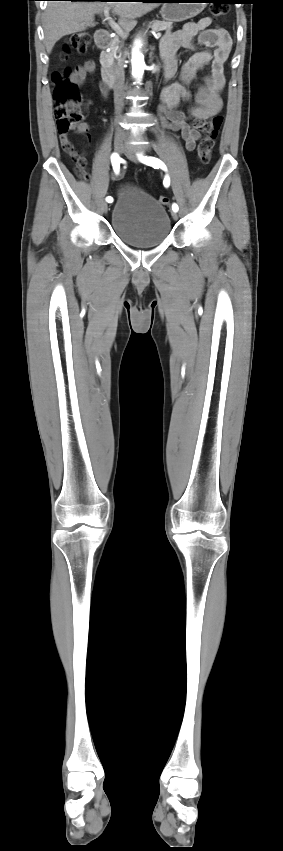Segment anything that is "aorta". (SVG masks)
Returning <instances> with one entry per match:
<instances>
[{
    "label": "aorta",
    "mask_w": 283,
    "mask_h": 851,
    "mask_svg": "<svg viewBox=\"0 0 283 851\" xmlns=\"http://www.w3.org/2000/svg\"><path fill=\"white\" fill-rule=\"evenodd\" d=\"M140 47H141V43L138 40V41L135 42L134 48L132 50V59H131L132 76L137 81H141L143 74H144V70H145L144 56L140 52Z\"/></svg>",
    "instance_id": "aorta-1"
}]
</instances>
